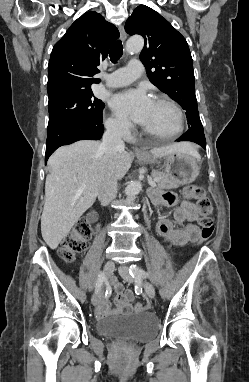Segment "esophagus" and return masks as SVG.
I'll list each match as a JSON object with an SVG mask.
<instances>
[{
	"instance_id": "esophagus-1",
	"label": "esophagus",
	"mask_w": 249,
	"mask_h": 382,
	"mask_svg": "<svg viewBox=\"0 0 249 382\" xmlns=\"http://www.w3.org/2000/svg\"><path fill=\"white\" fill-rule=\"evenodd\" d=\"M119 32H120V38H121V40H122V41H125L126 38H127V36H126V33H125V30H124V27H123V26H120V27H119ZM134 151H135V153H138V154L143 153V150H141V149H139V148H137V147L134 148Z\"/></svg>"
}]
</instances>
